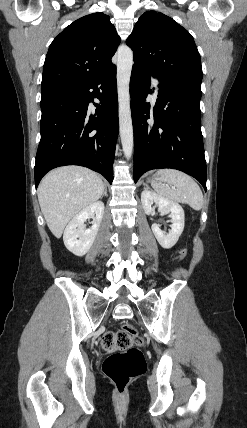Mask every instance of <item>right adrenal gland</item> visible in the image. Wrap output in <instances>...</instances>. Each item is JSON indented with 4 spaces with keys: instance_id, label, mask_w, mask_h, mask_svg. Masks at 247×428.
<instances>
[{
    "instance_id": "1",
    "label": "right adrenal gland",
    "mask_w": 247,
    "mask_h": 428,
    "mask_svg": "<svg viewBox=\"0 0 247 428\" xmlns=\"http://www.w3.org/2000/svg\"><path fill=\"white\" fill-rule=\"evenodd\" d=\"M103 196H108V195H107V187H106V186L104 187Z\"/></svg>"
}]
</instances>
